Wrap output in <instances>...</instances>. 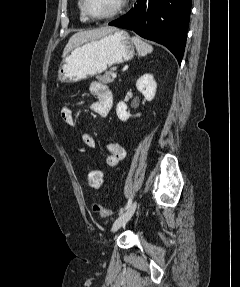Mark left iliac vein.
Listing matches in <instances>:
<instances>
[{
  "label": "left iliac vein",
  "mask_w": 240,
  "mask_h": 287,
  "mask_svg": "<svg viewBox=\"0 0 240 287\" xmlns=\"http://www.w3.org/2000/svg\"><path fill=\"white\" fill-rule=\"evenodd\" d=\"M137 207V202L135 201L130 207L123 212L113 223L112 232H116L119 228L124 226L133 216Z\"/></svg>",
  "instance_id": "left-iliac-vein-1"
}]
</instances>
